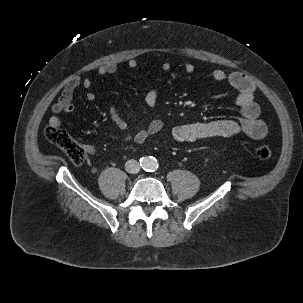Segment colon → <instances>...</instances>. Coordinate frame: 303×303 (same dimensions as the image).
Masks as SVG:
<instances>
[{
    "label": "colon",
    "mask_w": 303,
    "mask_h": 303,
    "mask_svg": "<svg viewBox=\"0 0 303 303\" xmlns=\"http://www.w3.org/2000/svg\"><path fill=\"white\" fill-rule=\"evenodd\" d=\"M46 139L59 148L74 164H82L87 157L86 150L65 130L54 124L45 129ZM255 155L262 160L269 159L272 150L268 146H259L254 150Z\"/></svg>",
    "instance_id": "colon-1"
}]
</instances>
